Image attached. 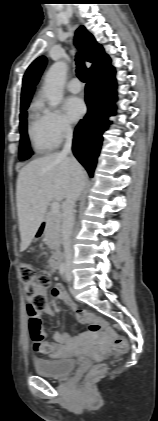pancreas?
<instances>
[{
	"instance_id": "1",
	"label": "pancreas",
	"mask_w": 158,
	"mask_h": 421,
	"mask_svg": "<svg viewBox=\"0 0 158 421\" xmlns=\"http://www.w3.org/2000/svg\"><path fill=\"white\" fill-rule=\"evenodd\" d=\"M61 220L62 215L60 213H53L52 211L47 213L44 235L46 244L53 250L60 246Z\"/></svg>"
}]
</instances>
